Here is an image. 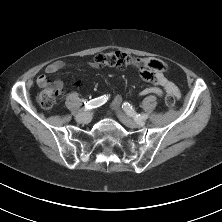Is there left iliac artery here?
<instances>
[{"label": "left iliac artery", "mask_w": 222, "mask_h": 222, "mask_svg": "<svg viewBox=\"0 0 222 222\" xmlns=\"http://www.w3.org/2000/svg\"><path fill=\"white\" fill-rule=\"evenodd\" d=\"M122 108L130 117H133L136 121H142L148 118V114H137L132 106H130V104L127 102L123 103Z\"/></svg>", "instance_id": "left-iliac-artery-1"}]
</instances>
